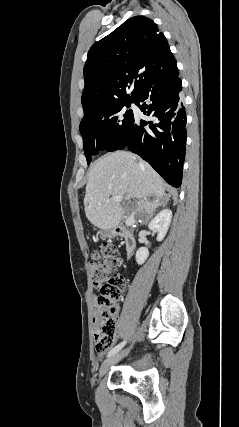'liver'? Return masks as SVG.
<instances>
[{
	"instance_id": "1",
	"label": "liver",
	"mask_w": 239,
	"mask_h": 427,
	"mask_svg": "<svg viewBox=\"0 0 239 427\" xmlns=\"http://www.w3.org/2000/svg\"><path fill=\"white\" fill-rule=\"evenodd\" d=\"M135 198L139 202L132 211H145L149 216L164 205L165 183L160 175L133 153L117 151L96 160L88 173L84 198L87 219L102 230L119 225L128 211L113 197ZM153 197V201H147Z\"/></svg>"
}]
</instances>
